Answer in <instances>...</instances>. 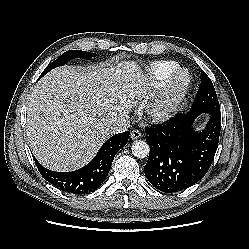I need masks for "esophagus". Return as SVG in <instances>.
I'll list each match as a JSON object with an SVG mask.
<instances>
[{"mask_svg": "<svg viewBox=\"0 0 249 249\" xmlns=\"http://www.w3.org/2000/svg\"><path fill=\"white\" fill-rule=\"evenodd\" d=\"M140 137H141L140 131L134 129V130L131 132V138H132L133 140L139 139Z\"/></svg>", "mask_w": 249, "mask_h": 249, "instance_id": "34e87169", "label": "esophagus"}]
</instances>
